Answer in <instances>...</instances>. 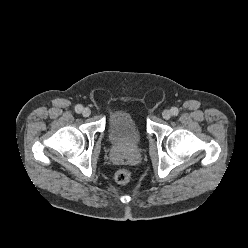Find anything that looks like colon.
I'll return each mask as SVG.
<instances>
[{"label": "colon", "mask_w": 248, "mask_h": 248, "mask_svg": "<svg viewBox=\"0 0 248 248\" xmlns=\"http://www.w3.org/2000/svg\"><path fill=\"white\" fill-rule=\"evenodd\" d=\"M131 172L127 169H120L115 174V180L120 184H127L131 180Z\"/></svg>", "instance_id": "obj_1"}]
</instances>
